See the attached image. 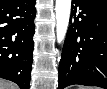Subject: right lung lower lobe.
Here are the masks:
<instances>
[{"instance_id": "obj_1", "label": "right lung lower lobe", "mask_w": 107, "mask_h": 89, "mask_svg": "<svg viewBox=\"0 0 107 89\" xmlns=\"http://www.w3.org/2000/svg\"><path fill=\"white\" fill-rule=\"evenodd\" d=\"M35 0H0V77L29 89Z\"/></svg>"}]
</instances>
